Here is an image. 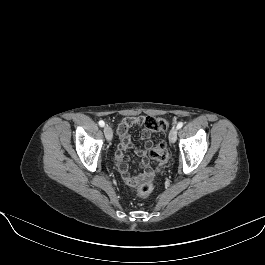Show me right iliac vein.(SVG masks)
Wrapping results in <instances>:
<instances>
[{
  "mask_svg": "<svg viewBox=\"0 0 265 265\" xmlns=\"http://www.w3.org/2000/svg\"><path fill=\"white\" fill-rule=\"evenodd\" d=\"M104 134H105V137H106V139L108 141H111L112 140V138H113V131H112V129H111L110 126L106 125L104 127Z\"/></svg>",
  "mask_w": 265,
  "mask_h": 265,
  "instance_id": "right-iliac-vein-1",
  "label": "right iliac vein"
}]
</instances>
